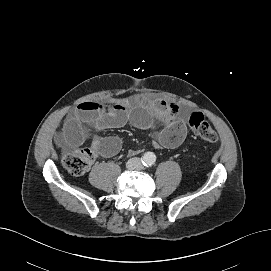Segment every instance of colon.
<instances>
[{
	"instance_id": "colon-1",
	"label": "colon",
	"mask_w": 271,
	"mask_h": 271,
	"mask_svg": "<svg viewBox=\"0 0 271 271\" xmlns=\"http://www.w3.org/2000/svg\"><path fill=\"white\" fill-rule=\"evenodd\" d=\"M188 124L195 135L203 141L215 143L218 140L217 133L202 113H189ZM95 158L96 152L91 148L76 149L64 156L63 165L72 175L80 176L89 170Z\"/></svg>"
}]
</instances>
